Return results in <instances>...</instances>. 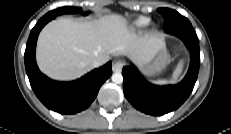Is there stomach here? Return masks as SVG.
<instances>
[{"mask_svg":"<svg viewBox=\"0 0 231 134\" xmlns=\"http://www.w3.org/2000/svg\"><path fill=\"white\" fill-rule=\"evenodd\" d=\"M169 62V55L165 45L158 49L153 57L147 61L136 62L140 70L148 76H154L163 71Z\"/></svg>","mask_w":231,"mask_h":134,"instance_id":"obj_1","label":"stomach"}]
</instances>
